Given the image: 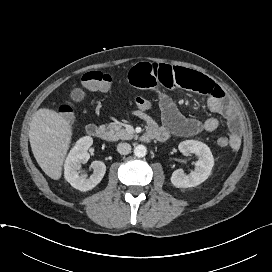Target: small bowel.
Returning a JSON list of instances; mask_svg holds the SVG:
<instances>
[{"mask_svg":"<svg viewBox=\"0 0 272 272\" xmlns=\"http://www.w3.org/2000/svg\"><path fill=\"white\" fill-rule=\"evenodd\" d=\"M128 77L135 87L154 90L158 95L162 125H158L146 111L141 109L136 111V114L147 123L148 131L154 134V139L165 141L172 136L189 137L218 129L219 120L216 117L204 120L188 118L179 111L173 100L160 90V87L184 88L208 97L209 109L226 119L229 146L233 150L240 148L241 135L235 107L227 99L223 89L208 77L187 68L151 62L137 64L131 69Z\"/></svg>","mask_w":272,"mask_h":272,"instance_id":"1","label":"small bowel"}]
</instances>
